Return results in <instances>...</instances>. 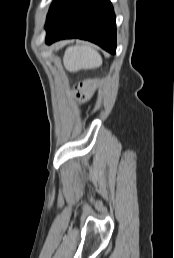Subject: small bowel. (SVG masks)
Returning a JSON list of instances; mask_svg holds the SVG:
<instances>
[{
  "label": "small bowel",
  "mask_w": 174,
  "mask_h": 258,
  "mask_svg": "<svg viewBox=\"0 0 174 258\" xmlns=\"http://www.w3.org/2000/svg\"><path fill=\"white\" fill-rule=\"evenodd\" d=\"M94 83H92L91 85H87L83 90H82V94L83 95H88L91 91V89L93 88Z\"/></svg>",
  "instance_id": "small-bowel-1"
}]
</instances>
